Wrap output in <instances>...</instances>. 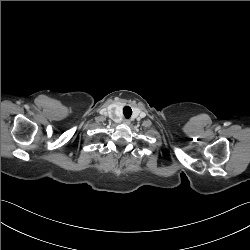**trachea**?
<instances>
[{"label":"trachea","instance_id":"3493384b","mask_svg":"<svg viewBox=\"0 0 250 250\" xmlns=\"http://www.w3.org/2000/svg\"><path fill=\"white\" fill-rule=\"evenodd\" d=\"M123 114H124L125 118H130L132 115V109L129 106H125L123 108Z\"/></svg>","mask_w":250,"mask_h":250}]
</instances>
